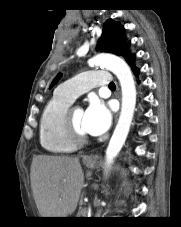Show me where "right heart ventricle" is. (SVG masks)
<instances>
[{"mask_svg":"<svg viewBox=\"0 0 181 227\" xmlns=\"http://www.w3.org/2000/svg\"><path fill=\"white\" fill-rule=\"evenodd\" d=\"M71 104L72 101L55 92L42 111L39 139L41 146L50 153H70L77 147L64 126L65 113Z\"/></svg>","mask_w":181,"mask_h":227,"instance_id":"obj_1","label":"right heart ventricle"}]
</instances>
